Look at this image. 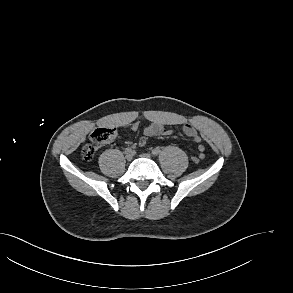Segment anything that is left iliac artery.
<instances>
[{"label":"left iliac artery","instance_id":"44dca946","mask_svg":"<svg viewBox=\"0 0 293 293\" xmlns=\"http://www.w3.org/2000/svg\"><path fill=\"white\" fill-rule=\"evenodd\" d=\"M160 153V148L159 147H156V148H154L153 150H152V154L153 155H158Z\"/></svg>","mask_w":293,"mask_h":293}]
</instances>
